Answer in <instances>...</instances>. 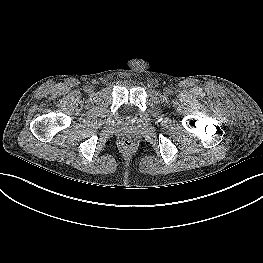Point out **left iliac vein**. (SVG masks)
Wrapping results in <instances>:
<instances>
[{"mask_svg": "<svg viewBox=\"0 0 263 263\" xmlns=\"http://www.w3.org/2000/svg\"><path fill=\"white\" fill-rule=\"evenodd\" d=\"M170 93H171L170 89H168V88L164 89V94L165 95H169Z\"/></svg>", "mask_w": 263, "mask_h": 263, "instance_id": "left-iliac-vein-1", "label": "left iliac vein"}]
</instances>
